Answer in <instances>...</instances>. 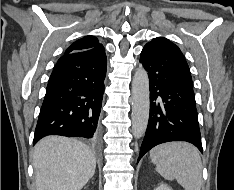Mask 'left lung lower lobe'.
<instances>
[{
  "instance_id": "0a47b994",
  "label": "left lung lower lobe",
  "mask_w": 234,
  "mask_h": 190,
  "mask_svg": "<svg viewBox=\"0 0 234 190\" xmlns=\"http://www.w3.org/2000/svg\"><path fill=\"white\" fill-rule=\"evenodd\" d=\"M181 60L180 49L164 37L141 52L149 77L150 114L138 161L154 146L170 141L190 142L202 152L195 94L178 75Z\"/></svg>"
}]
</instances>
